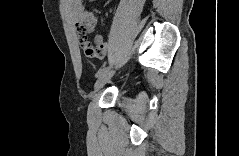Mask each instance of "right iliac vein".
I'll return each mask as SVG.
<instances>
[{
	"mask_svg": "<svg viewBox=\"0 0 239 156\" xmlns=\"http://www.w3.org/2000/svg\"><path fill=\"white\" fill-rule=\"evenodd\" d=\"M114 73V70H107L104 74H102L94 85V91L96 92L102 88L112 78Z\"/></svg>",
	"mask_w": 239,
	"mask_h": 156,
	"instance_id": "obj_1",
	"label": "right iliac vein"
}]
</instances>
